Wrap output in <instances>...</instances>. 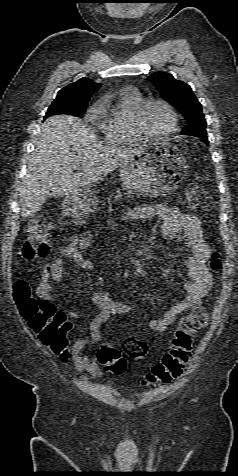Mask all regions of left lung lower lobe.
Returning a JSON list of instances; mask_svg holds the SVG:
<instances>
[{
    "label": "left lung lower lobe",
    "mask_w": 238,
    "mask_h": 476,
    "mask_svg": "<svg viewBox=\"0 0 238 476\" xmlns=\"http://www.w3.org/2000/svg\"><path fill=\"white\" fill-rule=\"evenodd\" d=\"M206 144H208V140H206Z\"/></svg>",
    "instance_id": "left-lung-lower-lobe-1"
}]
</instances>
